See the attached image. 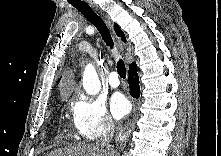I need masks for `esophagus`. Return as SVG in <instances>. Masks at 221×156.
Here are the masks:
<instances>
[{
	"instance_id": "obj_1",
	"label": "esophagus",
	"mask_w": 221,
	"mask_h": 156,
	"mask_svg": "<svg viewBox=\"0 0 221 156\" xmlns=\"http://www.w3.org/2000/svg\"><path fill=\"white\" fill-rule=\"evenodd\" d=\"M88 1H90V0H88ZM105 19H106L108 25H109V26H112V25H111V22L109 21V19H108L106 16H105Z\"/></svg>"
}]
</instances>
